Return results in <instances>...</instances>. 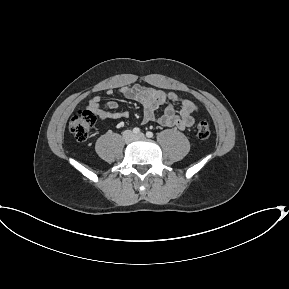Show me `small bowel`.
Returning <instances> with one entry per match:
<instances>
[{
  "label": "small bowel",
  "mask_w": 289,
  "mask_h": 289,
  "mask_svg": "<svg viewBox=\"0 0 289 289\" xmlns=\"http://www.w3.org/2000/svg\"><path fill=\"white\" fill-rule=\"evenodd\" d=\"M115 92L124 98L142 104L144 123L156 122L163 126L177 127L183 130L194 124L195 114L198 112V107L193 101L182 98L173 92L167 93L156 88L135 85L125 86L117 91L109 89L107 94L113 95ZM164 104L167 106L162 114L156 115V110ZM87 108L96 114L101 121L128 117V112L121 111L116 101L102 102L99 95L90 99Z\"/></svg>",
  "instance_id": "c3829d8e"
}]
</instances>
